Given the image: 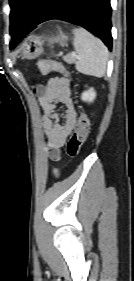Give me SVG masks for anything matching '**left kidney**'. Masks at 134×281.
Wrapping results in <instances>:
<instances>
[{
    "label": "left kidney",
    "mask_w": 134,
    "mask_h": 281,
    "mask_svg": "<svg viewBox=\"0 0 134 281\" xmlns=\"http://www.w3.org/2000/svg\"><path fill=\"white\" fill-rule=\"evenodd\" d=\"M96 97V92L93 88H90L88 91L82 93L81 99L85 102H93Z\"/></svg>",
    "instance_id": "obj_1"
}]
</instances>
